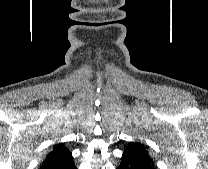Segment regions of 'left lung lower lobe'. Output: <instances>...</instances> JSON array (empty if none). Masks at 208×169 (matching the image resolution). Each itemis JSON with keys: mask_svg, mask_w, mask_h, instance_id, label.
<instances>
[{"mask_svg": "<svg viewBox=\"0 0 208 169\" xmlns=\"http://www.w3.org/2000/svg\"><path fill=\"white\" fill-rule=\"evenodd\" d=\"M117 169H156L154 164L138 152L125 149L122 154L121 162Z\"/></svg>", "mask_w": 208, "mask_h": 169, "instance_id": "0a47b994", "label": "left lung lower lobe"}]
</instances>
